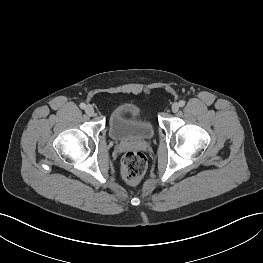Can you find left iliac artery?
<instances>
[{"label":"left iliac artery","instance_id":"1","mask_svg":"<svg viewBox=\"0 0 263 263\" xmlns=\"http://www.w3.org/2000/svg\"><path fill=\"white\" fill-rule=\"evenodd\" d=\"M184 105H185V101H183V100L179 101V106L180 107H183Z\"/></svg>","mask_w":263,"mask_h":263}]
</instances>
